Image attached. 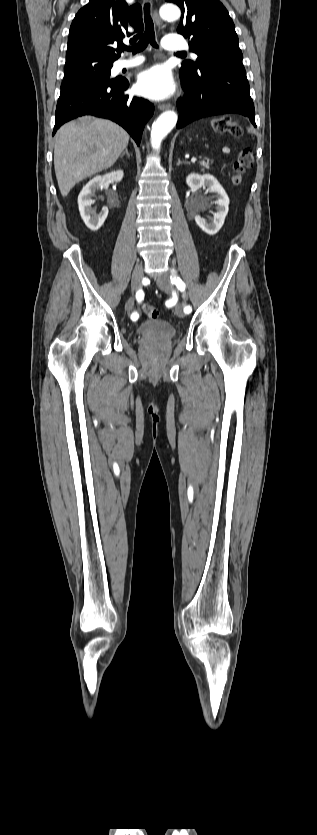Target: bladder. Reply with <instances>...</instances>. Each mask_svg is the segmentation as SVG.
Segmentation results:
<instances>
[{
  "instance_id": "31cf9c89",
  "label": "bladder",
  "mask_w": 317,
  "mask_h": 835,
  "mask_svg": "<svg viewBox=\"0 0 317 835\" xmlns=\"http://www.w3.org/2000/svg\"><path fill=\"white\" fill-rule=\"evenodd\" d=\"M136 335L148 341H168L176 335L175 327L169 322L154 318L143 321L136 328Z\"/></svg>"
}]
</instances>
